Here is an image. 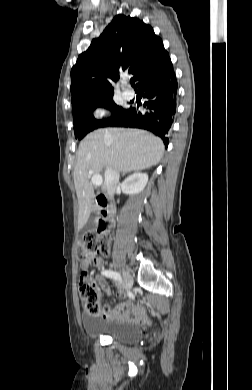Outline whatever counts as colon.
<instances>
[{
  "mask_svg": "<svg viewBox=\"0 0 252 390\" xmlns=\"http://www.w3.org/2000/svg\"><path fill=\"white\" fill-rule=\"evenodd\" d=\"M108 240L107 236L95 232L87 234L78 247V256L81 261L85 262L101 255H107L109 252ZM80 293L85 300L88 312L93 315L101 314L100 294L90 274L86 271L80 275Z\"/></svg>",
  "mask_w": 252,
  "mask_h": 390,
  "instance_id": "colon-1",
  "label": "colon"
}]
</instances>
